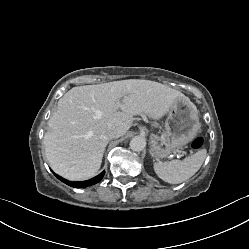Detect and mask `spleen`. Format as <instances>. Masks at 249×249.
<instances>
[{
    "instance_id": "3e777b00",
    "label": "spleen",
    "mask_w": 249,
    "mask_h": 249,
    "mask_svg": "<svg viewBox=\"0 0 249 249\" xmlns=\"http://www.w3.org/2000/svg\"><path fill=\"white\" fill-rule=\"evenodd\" d=\"M206 156V149H201L183 160L154 163V171L163 181L179 184L192 177L200 169Z\"/></svg>"
}]
</instances>
